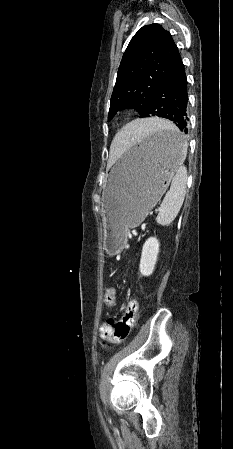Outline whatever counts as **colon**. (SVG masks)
<instances>
[{"label": "colon", "mask_w": 233, "mask_h": 449, "mask_svg": "<svg viewBox=\"0 0 233 449\" xmlns=\"http://www.w3.org/2000/svg\"><path fill=\"white\" fill-rule=\"evenodd\" d=\"M104 303L107 307H114L116 303V286L109 284L104 295ZM139 311L137 299H131L121 319H109L108 324L101 330V337L105 341L120 343L127 339L135 326Z\"/></svg>", "instance_id": "5ec220e1"}]
</instances>
